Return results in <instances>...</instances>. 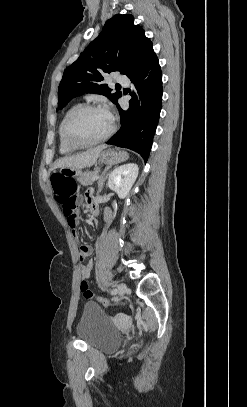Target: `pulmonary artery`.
<instances>
[{"instance_id":"pulmonary-artery-1","label":"pulmonary artery","mask_w":247,"mask_h":407,"mask_svg":"<svg viewBox=\"0 0 247 407\" xmlns=\"http://www.w3.org/2000/svg\"><path fill=\"white\" fill-rule=\"evenodd\" d=\"M115 80H116V82H118L120 84H124V85H127L130 82L129 78L126 75H122V74H117L115 76Z\"/></svg>"}]
</instances>
